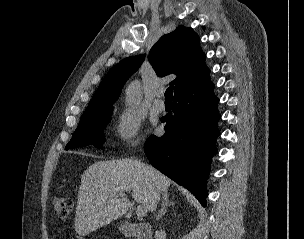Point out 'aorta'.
Instances as JSON below:
<instances>
[{
	"label": "aorta",
	"mask_w": 304,
	"mask_h": 239,
	"mask_svg": "<svg viewBox=\"0 0 304 239\" xmlns=\"http://www.w3.org/2000/svg\"><path fill=\"white\" fill-rule=\"evenodd\" d=\"M141 98L140 86L137 82L131 83L127 89L126 102L134 105Z\"/></svg>",
	"instance_id": "aorta-1"
}]
</instances>
